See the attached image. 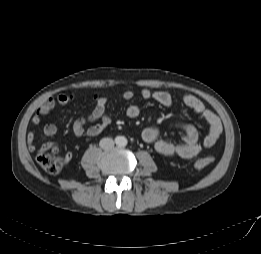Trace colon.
I'll return each mask as SVG.
<instances>
[{
  "mask_svg": "<svg viewBox=\"0 0 261 254\" xmlns=\"http://www.w3.org/2000/svg\"><path fill=\"white\" fill-rule=\"evenodd\" d=\"M36 160L43 170L50 174H56L61 171L65 160L54 145H44L37 150ZM215 160L213 154H205L197 158L194 166L201 169L211 165Z\"/></svg>",
  "mask_w": 261,
  "mask_h": 254,
  "instance_id": "5ec220e1",
  "label": "colon"
}]
</instances>
